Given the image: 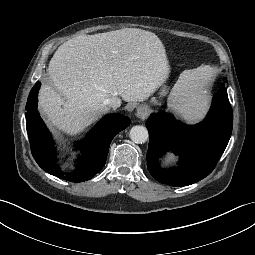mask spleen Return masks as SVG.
I'll return each instance as SVG.
<instances>
[{
	"mask_svg": "<svg viewBox=\"0 0 255 255\" xmlns=\"http://www.w3.org/2000/svg\"><path fill=\"white\" fill-rule=\"evenodd\" d=\"M213 77L209 65L183 71L171 92L169 109L186 122L201 120L209 106L208 86Z\"/></svg>",
	"mask_w": 255,
	"mask_h": 255,
	"instance_id": "spleen-1",
	"label": "spleen"
}]
</instances>
